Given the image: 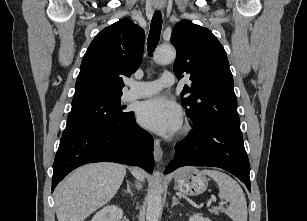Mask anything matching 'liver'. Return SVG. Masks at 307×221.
Masks as SVG:
<instances>
[{"instance_id": "6515ba94", "label": "liver", "mask_w": 307, "mask_h": 221, "mask_svg": "<svg viewBox=\"0 0 307 221\" xmlns=\"http://www.w3.org/2000/svg\"><path fill=\"white\" fill-rule=\"evenodd\" d=\"M132 173L140 181L145 178L138 168H132ZM125 175V167L116 163H93L76 169L55 190L58 221H84L115 196Z\"/></svg>"}]
</instances>
